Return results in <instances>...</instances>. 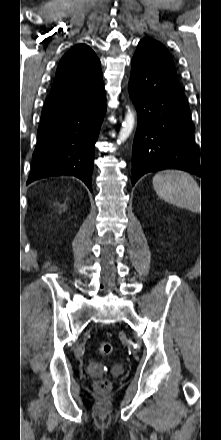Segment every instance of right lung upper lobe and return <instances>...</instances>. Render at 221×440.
Returning <instances> with one entry per match:
<instances>
[{
    "instance_id": "right-lung-upper-lobe-1",
    "label": "right lung upper lobe",
    "mask_w": 221,
    "mask_h": 440,
    "mask_svg": "<svg viewBox=\"0 0 221 440\" xmlns=\"http://www.w3.org/2000/svg\"><path fill=\"white\" fill-rule=\"evenodd\" d=\"M102 81L100 61L85 44H78L60 60L51 92L86 88Z\"/></svg>"
}]
</instances>
